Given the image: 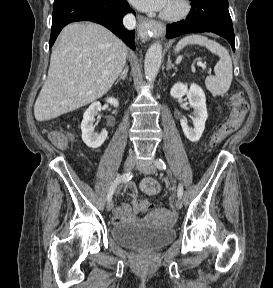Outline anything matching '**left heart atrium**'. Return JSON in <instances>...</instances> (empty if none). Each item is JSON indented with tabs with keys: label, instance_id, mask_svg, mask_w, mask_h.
<instances>
[{
	"label": "left heart atrium",
	"instance_id": "39dd6f15",
	"mask_svg": "<svg viewBox=\"0 0 273 288\" xmlns=\"http://www.w3.org/2000/svg\"><path fill=\"white\" fill-rule=\"evenodd\" d=\"M130 2L142 11H161L169 4L170 0H130Z\"/></svg>",
	"mask_w": 273,
	"mask_h": 288
}]
</instances>
